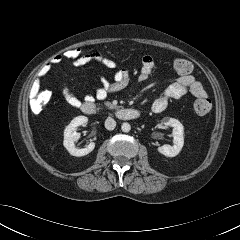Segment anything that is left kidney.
<instances>
[{
    "label": "left kidney",
    "mask_w": 240,
    "mask_h": 240,
    "mask_svg": "<svg viewBox=\"0 0 240 240\" xmlns=\"http://www.w3.org/2000/svg\"><path fill=\"white\" fill-rule=\"evenodd\" d=\"M162 123L165 126H171L173 127V145H163L161 147H158V152L167 156V157H175L179 154L181 151L183 145H184V129L181 122L174 118H168L165 117L162 119Z\"/></svg>",
    "instance_id": "obj_1"
}]
</instances>
